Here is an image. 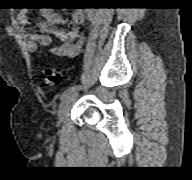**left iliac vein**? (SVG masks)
I'll use <instances>...</instances> for the list:
<instances>
[{"mask_svg": "<svg viewBox=\"0 0 192 180\" xmlns=\"http://www.w3.org/2000/svg\"><path fill=\"white\" fill-rule=\"evenodd\" d=\"M76 96H77V93L73 92L61 102L59 112H58L59 124L64 121L66 114H67L71 104L74 102Z\"/></svg>", "mask_w": 192, "mask_h": 180, "instance_id": "4c4485c4", "label": "left iliac vein"}]
</instances>
